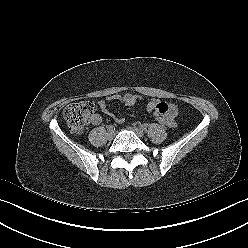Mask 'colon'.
<instances>
[{
    "instance_id": "5ec220e1",
    "label": "colon",
    "mask_w": 248,
    "mask_h": 248,
    "mask_svg": "<svg viewBox=\"0 0 248 248\" xmlns=\"http://www.w3.org/2000/svg\"><path fill=\"white\" fill-rule=\"evenodd\" d=\"M95 111V105L91 101H80L67 105L63 111V117L69 129L75 134H81L87 128ZM156 120L163 126H168V119L157 116Z\"/></svg>"
}]
</instances>
